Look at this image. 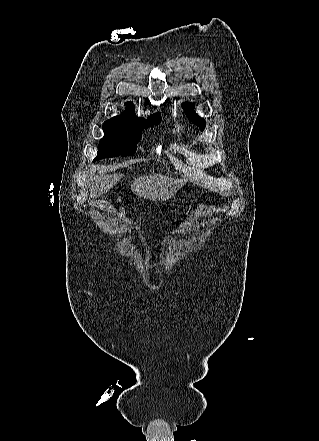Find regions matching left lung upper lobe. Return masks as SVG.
Masks as SVG:
<instances>
[{
  "label": "left lung upper lobe",
  "mask_w": 319,
  "mask_h": 441,
  "mask_svg": "<svg viewBox=\"0 0 319 441\" xmlns=\"http://www.w3.org/2000/svg\"><path fill=\"white\" fill-rule=\"evenodd\" d=\"M183 108L189 117V119L195 123L201 130H203L206 127V122L203 118L199 117L197 114L194 113V109L191 103H183Z\"/></svg>",
  "instance_id": "5c2ea615"
}]
</instances>
